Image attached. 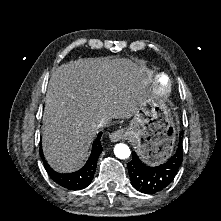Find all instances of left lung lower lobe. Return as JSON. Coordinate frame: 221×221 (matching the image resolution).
I'll use <instances>...</instances> for the list:
<instances>
[{"instance_id": "left-lung-lower-lobe-1", "label": "left lung lower lobe", "mask_w": 221, "mask_h": 221, "mask_svg": "<svg viewBox=\"0 0 221 221\" xmlns=\"http://www.w3.org/2000/svg\"><path fill=\"white\" fill-rule=\"evenodd\" d=\"M183 161L182 137L180 136L178 147L167 162L155 167H149L142 163L135 152L128 163L130 180L134 188L145 194H155L165 189L173 181Z\"/></svg>"}]
</instances>
